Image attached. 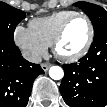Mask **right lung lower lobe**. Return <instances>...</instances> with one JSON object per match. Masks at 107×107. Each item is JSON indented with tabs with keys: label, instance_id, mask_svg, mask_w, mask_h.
Here are the masks:
<instances>
[{
	"label": "right lung lower lobe",
	"instance_id": "obj_1",
	"mask_svg": "<svg viewBox=\"0 0 107 107\" xmlns=\"http://www.w3.org/2000/svg\"><path fill=\"white\" fill-rule=\"evenodd\" d=\"M44 71L18 47L0 43V107H26L35 78Z\"/></svg>",
	"mask_w": 107,
	"mask_h": 107
}]
</instances>
